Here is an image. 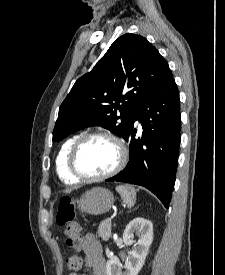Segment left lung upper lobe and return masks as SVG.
<instances>
[{"instance_id": "5c2ea615", "label": "left lung upper lobe", "mask_w": 225, "mask_h": 275, "mask_svg": "<svg viewBox=\"0 0 225 275\" xmlns=\"http://www.w3.org/2000/svg\"><path fill=\"white\" fill-rule=\"evenodd\" d=\"M169 71L146 38L131 33L119 37L61 104L53 141L90 126L125 138L144 99Z\"/></svg>"}]
</instances>
